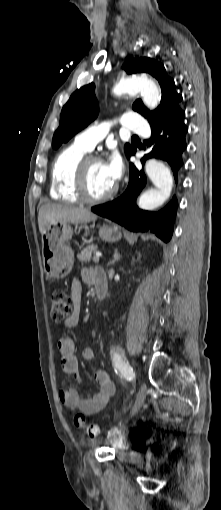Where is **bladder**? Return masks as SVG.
I'll use <instances>...</instances> for the list:
<instances>
[{"instance_id": "1", "label": "bladder", "mask_w": 221, "mask_h": 510, "mask_svg": "<svg viewBox=\"0 0 221 510\" xmlns=\"http://www.w3.org/2000/svg\"><path fill=\"white\" fill-rule=\"evenodd\" d=\"M133 444V440L130 437H124L114 444V449L117 451H126Z\"/></svg>"}]
</instances>
